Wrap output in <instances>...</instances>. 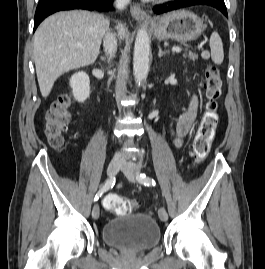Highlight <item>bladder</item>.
Returning a JSON list of instances; mask_svg holds the SVG:
<instances>
[{"label":"bladder","mask_w":265,"mask_h":269,"mask_svg":"<svg viewBox=\"0 0 265 269\" xmlns=\"http://www.w3.org/2000/svg\"><path fill=\"white\" fill-rule=\"evenodd\" d=\"M160 229L147 214L123 215L107 222L102 239L108 245L125 251H146L160 242Z\"/></svg>","instance_id":"1"}]
</instances>
